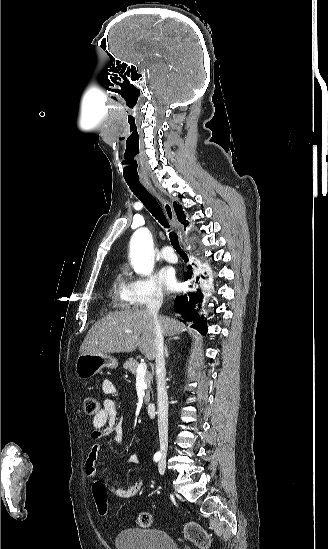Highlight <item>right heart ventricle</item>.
I'll list each match as a JSON object with an SVG mask.
<instances>
[{
  "instance_id": "1",
  "label": "right heart ventricle",
  "mask_w": 328,
  "mask_h": 549,
  "mask_svg": "<svg viewBox=\"0 0 328 549\" xmlns=\"http://www.w3.org/2000/svg\"><path fill=\"white\" fill-rule=\"evenodd\" d=\"M110 303H140L133 295L130 283L119 274L112 283Z\"/></svg>"
}]
</instances>
